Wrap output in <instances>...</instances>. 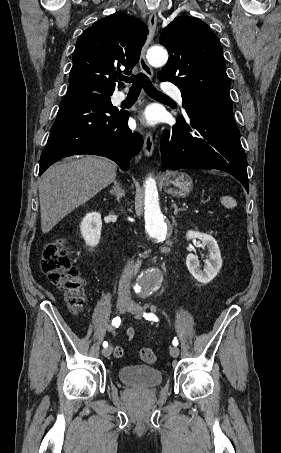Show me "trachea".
Wrapping results in <instances>:
<instances>
[{
  "mask_svg": "<svg viewBox=\"0 0 281 453\" xmlns=\"http://www.w3.org/2000/svg\"><path fill=\"white\" fill-rule=\"evenodd\" d=\"M118 78L119 80H122L126 83H132L128 97L137 98L141 91V88H144V91L147 93V95L151 97H167V95L159 92V90H157V88L152 85V82L146 75H144V73L131 75V77L120 76Z\"/></svg>",
  "mask_w": 281,
  "mask_h": 453,
  "instance_id": "1",
  "label": "trachea"
}]
</instances>
